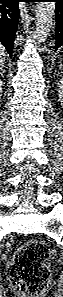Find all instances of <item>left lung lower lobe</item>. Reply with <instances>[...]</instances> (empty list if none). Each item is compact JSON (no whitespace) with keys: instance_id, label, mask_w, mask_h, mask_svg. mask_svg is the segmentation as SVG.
Masks as SVG:
<instances>
[{"instance_id":"left-lung-lower-lobe-1","label":"left lung lower lobe","mask_w":63,"mask_h":297,"mask_svg":"<svg viewBox=\"0 0 63 297\" xmlns=\"http://www.w3.org/2000/svg\"><path fill=\"white\" fill-rule=\"evenodd\" d=\"M57 2L56 5V46L58 49L63 45V0H50Z\"/></svg>"}]
</instances>
